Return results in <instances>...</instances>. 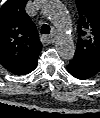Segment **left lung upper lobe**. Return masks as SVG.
Segmentation results:
<instances>
[{"mask_svg": "<svg viewBox=\"0 0 100 118\" xmlns=\"http://www.w3.org/2000/svg\"><path fill=\"white\" fill-rule=\"evenodd\" d=\"M78 12V34L73 61L96 72L100 71V0H75Z\"/></svg>", "mask_w": 100, "mask_h": 118, "instance_id": "obj_1", "label": "left lung upper lobe"}]
</instances>
